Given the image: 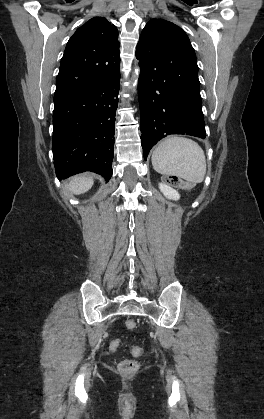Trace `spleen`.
<instances>
[{
	"label": "spleen",
	"instance_id": "obj_1",
	"mask_svg": "<svg viewBox=\"0 0 264 419\" xmlns=\"http://www.w3.org/2000/svg\"><path fill=\"white\" fill-rule=\"evenodd\" d=\"M152 165L160 174L177 176L192 184L202 182L206 174L203 149L197 142L179 136H170L155 148Z\"/></svg>",
	"mask_w": 264,
	"mask_h": 419
}]
</instances>
